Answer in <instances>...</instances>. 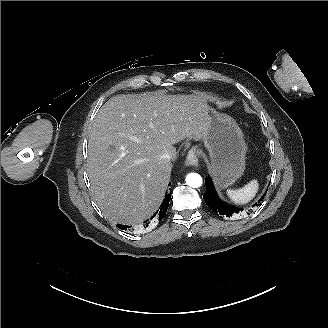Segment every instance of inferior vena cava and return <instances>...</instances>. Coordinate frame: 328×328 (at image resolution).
<instances>
[{"instance_id": "1", "label": "inferior vena cava", "mask_w": 328, "mask_h": 328, "mask_svg": "<svg viewBox=\"0 0 328 328\" xmlns=\"http://www.w3.org/2000/svg\"><path fill=\"white\" fill-rule=\"evenodd\" d=\"M162 158H163V159H170V155L167 154V153H166V154H163V155H162Z\"/></svg>"}]
</instances>
